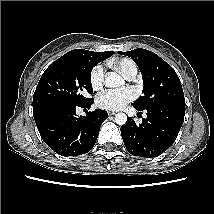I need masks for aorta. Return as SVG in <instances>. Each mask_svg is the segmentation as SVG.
Returning <instances> with one entry per match:
<instances>
[{
	"mask_svg": "<svg viewBox=\"0 0 214 214\" xmlns=\"http://www.w3.org/2000/svg\"><path fill=\"white\" fill-rule=\"evenodd\" d=\"M124 84V80L115 72H111L105 81V86L109 88L120 87ZM115 122L118 125H125L127 122V115L125 113H117L115 115Z\"/></svg>",
	"mask_w": 214,
	"mask_h": 214,
	"instance_id": "aorta-1",
	"label": "aorta"
}]
</instances>
